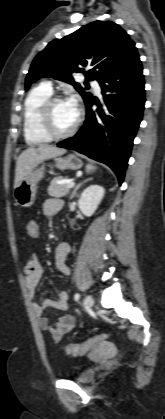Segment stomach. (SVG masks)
<instances>
[{
	"label": "stomach",
	"instance_id": "1",
	"mask_svg": "<svg viewBox=\"0 0 165 419\" xmlns=\"http://www.w3.org/2000/svg\"><path fill=\"white\" fill-rule=\"evenodd\" d=\"M55 166L60 170H78L82 167V161L74 154L55 159ZM45 175V164L36 166L31 172L14 188V198L21 207H30L36 198L37 184Z\"/></svg>",
	"mask_w": 165,
	"mask_h": 419
}]
</instances>
